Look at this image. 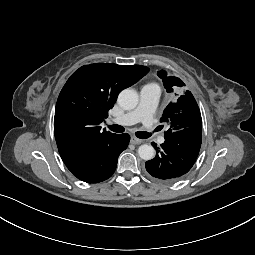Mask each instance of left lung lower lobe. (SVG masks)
<instances>
[{"label":"left lung lower lobe","instance_id":"left-lung-lower-lobe-1","mask_svg":"<svg viewBox=\"0 0 255 255\" xmlns=\"http://www.w3.org/2000/svg\"><path fill=\"white\" fill-rule=\"evenodd\" d=\"M202 142V126L196 125L165 136V142L156 149L154 159L146 162L147 172L163 182H175L194 165Z\"/></svg>","mask_w":255,"mask_h":255}]
</instances>
